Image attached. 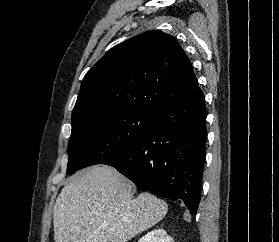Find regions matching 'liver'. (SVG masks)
Segmentation results:
<instances>
[{"label": "liver", "mask_w": 279, "mask_h": 242, "mask_svg": "<svg viewBox=\"0 0 279 242\" xmlns=\"http://www.w3.org/2000/svg\"><path fill=\"white\" fill-rule=\"evenodd\" d=\"M110 166H93L69 178L53 211L55 242H126L158 223L165 201L143 192Z\"/></svg>", "instance_id": "obj_1"}]
</instances>
